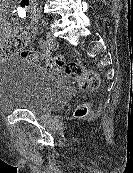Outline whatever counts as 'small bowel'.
<instances>
[{"label": "small bowel", "mask_w": 133, "mask_h": 173, "mask_svg": "<svg viewBox=\"0 0 133 173\" xmlns=\"http://www.w3.org/2000/svg\"><path fill=\"white\" fill-rule=\"evenodd\" d=\"M17 11L28 13L29 23L25 28H22L5 22L3 18L0 17V49H2L5 46V43L10 39L19 38L23 43H25L35 38L38 32L39 11L33 5V1L20 0ZM11 55L13 54H0V60H3Z\"/></svg>", "instance_id": "1"}]
</instances>
